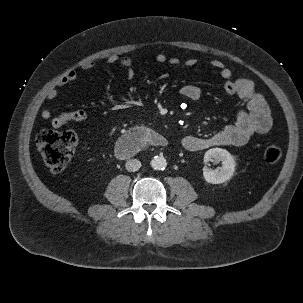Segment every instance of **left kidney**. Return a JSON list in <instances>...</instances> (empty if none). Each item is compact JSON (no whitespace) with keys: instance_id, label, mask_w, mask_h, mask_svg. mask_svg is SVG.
Returning a JSON list of instances; mask_svg holds the SVG:
<instances>
[{"instance_id":"5707ae66","label":"left kidney","mask_w":303,"mask_h":303,"mask_svg":"<svg viewBox=\"0 0 303 303\" xmlns=\"http://www.w3.org/2000/svg\"><path fill=\"white\" fill-rule=\"evenodd\" d=\"M209 161H215L216 163L222 161V167L213 170L205 166L203 168V176L206 182L220 184L233 176L236 162L234 157L227 150L222 148L209 149L204 155V162L207 164Z\"/></svg>"}]
</instances>
